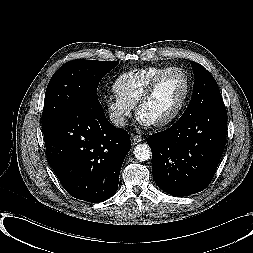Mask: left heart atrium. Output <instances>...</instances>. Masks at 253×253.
I'll use <instances>...</instances> for the list:
<instances>
[{
	"instance_id": "1",
	"label": "left heart atrium",
	"mask_w": 253,
	"mask_h": 253,
	"mask_svg": "<svg viewBox=\"0 0 253 253\" xmlns=\"http://www.w3.org/2000/svg\"><path fill=\"white\" fill-rule=\"evenodd\" d=\"M140 123L143 125H150V122L144 119L143 117H139Z\"/></svg>"
}]
</instances>
